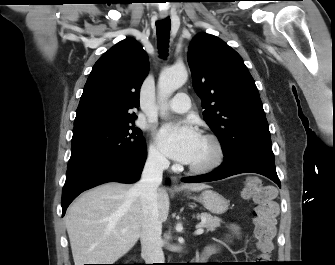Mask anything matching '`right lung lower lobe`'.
<instances>
[{"mask_svg":"<svg viewBox=\"0 0 335 265\" xmlns=\"http://www.w3.org/2000/svg\"><path fill=\"white\" fill-rule=\"evenodd\" d=\"M146 151L130 158L94 157L68 164L62 190V216L83 191L106 182L133 183L139 180Z\"/></svg>","mask_w":335,"mask_h":265,"instance_id":"right-lung-lower-lobe-1","label":"right lung lower lobe"}]
</instances>
